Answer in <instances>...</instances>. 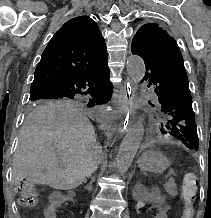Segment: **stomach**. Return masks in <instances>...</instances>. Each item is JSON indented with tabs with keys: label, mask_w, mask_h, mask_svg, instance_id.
<instances>
[{
	"label": "stomach",
	"mask_w": 211,
	"mask_h": 218,
	"mask_svg": "<svg viewBox=\"0 0 211 218\" xmlns=\"http://www.w3.org/2000/svg\"><path fill=\"white\" fill-rule=\"evenodd\" d=\"M139 165L142 170L157 174L168 168L169 161L159 152H146L142 155Z\"/></svg>",
	"instance_id": "1"
}]
</instances>
